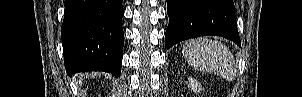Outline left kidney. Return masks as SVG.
I'll list each match as a JSON object with an SVG mask.
<instances>
[{"label":"left kidney","instance_id":"1","mask_svg":"<svg viewBox=\"0 0 302 97\" xmlns=\"http://www.w3.org/2000/svg\"><path fill=\"white\" fill-rule=\"evenodd\" d=\"M187 85L190 87V89L195 92L199 93L202 91L201 84L193 77H189L187 80Z\"/></svg>","mask_w":302,"mask_h":97}]
</instances>
